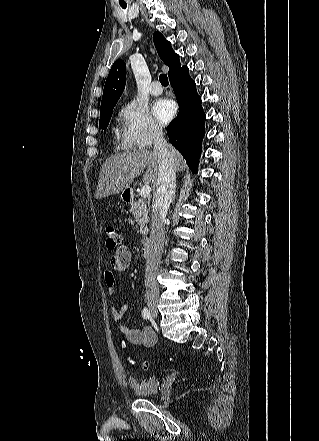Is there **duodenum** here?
I'll return each instance as SVG.
<instances>
[{
    "label": "duodenum",
    "instance_id": "duodenum-1",
    "mask_svg": "<svg viewBox=\"0 0 319 441\" xmlns=\"http://www.w3.org/2000/svg\"><path fill=\"white\" fill-rule=\"evenodd\" d=\"M132 198H133V196H132V192H131L130 190H126V191L124 192V200H125L126 202H131V201H132ZM152 252H153V242H152L151 239H149V238H145V239L142 241V244H141V253H142V256H143L144 258H147V259H148V258L151 257Z\"/></svg>",
    "mask_w": 319,
    "mask_h": 441
}]
</instances>
